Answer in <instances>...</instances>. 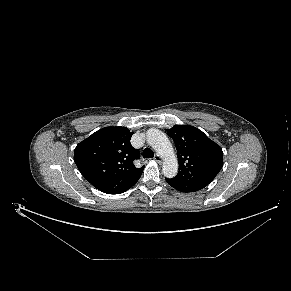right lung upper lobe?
<instances>
[{
    "label": "right lung upper lobe",
    "instance_id": "cb5924a9",
    "mask_svg": "<svg viewBox=\"0 0 291 291\" xmlns=\"http://www.w3.org/2000/svg\"><path fill=\"white\" fill-rule=\"evenodd\" d=\"M132 134L126 127H105L76 146L74 161L81 174L98 190L119 194L139 180L144 166L134 165L140 152L130 144Z\"/></svg>",
    "mask_w": 291,
    "mask_h": 291
}]
</instances>
